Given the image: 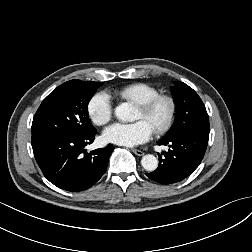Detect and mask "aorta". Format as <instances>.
Returning a JSON list of instances; mask_svg holds the SVG:
<instances>
[{
  "label": "aorta",
  "mask_w": 252,
  "mask_h": 252,
  "mask_svg": "<svg viewBox=\"0 0 252 252\" xmlns=\"http://www.w3.org/2000/svg\"><path fill=\"white\" fill-rule=\"evenodd\" d=\"M115 116L122 122L134 121L136 119L135 108L130 103H122L115 108ZM141 165L147 171H154L158 167V160L152 154L142 157Z\"/></svg>",
  "instance_id": "762f6f07"
}]
</instances>
